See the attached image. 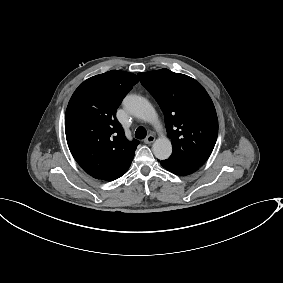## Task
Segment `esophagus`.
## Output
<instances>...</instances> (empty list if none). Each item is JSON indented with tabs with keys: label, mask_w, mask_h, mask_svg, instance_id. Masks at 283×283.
<instances>
[{
	"label": "esophagus",
	"mask_w": 283,
	"mask_h": 283,
	"mask_svg": "<svg viewBox=\"0 0 283 283\" xmlns=\"http://www.w3.org/2000/svg\"><path fill=\"white\" fill-rule=\"evenodd\" d=\"M154 140H155V136L150 134L146 137V139L144 140V143L150 144V143L154 142Z\"/></svg>",
	"instance_id": "esophagus-1"
}]
</instances>
